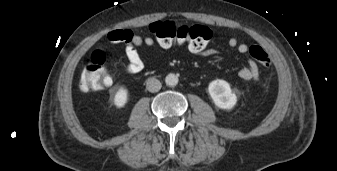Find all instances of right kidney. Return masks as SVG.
Listing matches in <instances>:
<instances>
[{
    "label": "right kidney",
    "mask_w": 337,
    "mask_h": 171,
    "mask_svg": "<svg viewBox=\"0 0 337 171\" xmlns=\"http://www.w3.org/2000/svg\"><path fill=\"white\" fill-rule=\"evenodd\" d=\"M127 98H128V91L125 88H120L114 96V104L116 107L121 108L124 107L125 104L127 103Z\"/></svg>",
    "instance_id": "right-kidney-1"
}]
</instances>
